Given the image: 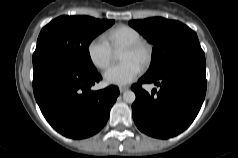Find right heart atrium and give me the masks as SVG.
<instances>
[{
	"label": "right heart atrium",
	"instance_id": "d8ad5b80",
	"mask_svg": "<svg viewBox=\"0 0 238 158\" xmlns=\"http://www.w3.org/2000/svg\"><path fill=\"white\" fill-rule=\"evenodd\" d=\"M87 53L92 64L99 69H105L113 58V49L102 36L94 37L88 43Z\"/></svg>",
	"mask_w": 238,
	"mask_h": 158
}]
</instances>
